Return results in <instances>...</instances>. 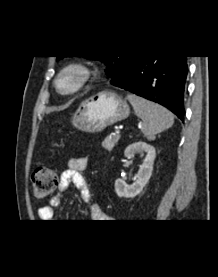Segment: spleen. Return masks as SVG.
<instances>
[{
	"label": "spleen",
	"instance_id": "1",
	"mask_svg": "<svg viewBox=\"0 0 218 277\" xmlns=\"http://www.w3.org/2000/svg\"><path fill=\"white\" fill-rule=\"evenodd\" d=\"M127 99L131 103L135 114L142 119L141 131L149 140H154L157 133L173 125V114L166 108L135 94H128Z\"/></svg>",
	"mask_w": 218,
	"mask_h": 277
}]
</instances>
